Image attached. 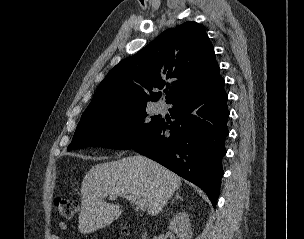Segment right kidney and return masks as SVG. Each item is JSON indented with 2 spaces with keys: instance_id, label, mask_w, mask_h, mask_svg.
<instances>
[{
  "instance_id": "obj_1",
  "label": "right kidney",
  "mask_w": 304,
  "mask_h": 239,
  "mask_svg": "<svg viewBox=\"0 0 304 239\" xmlns=\"http://www.w3.org/2000/svg\"><path fill=\"white\" fill-rule=\"evenodd\" d=\"M169 229L175 232L179 239H191L192 237L189 217L185 212L177 213L170 220Z\"/></svg>"
}]
</instances>
